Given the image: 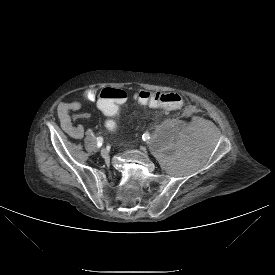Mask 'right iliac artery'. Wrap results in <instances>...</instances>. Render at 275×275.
I'll return each instance as SVG.
<instances>
[{"label":"right iliac artery","mask_w":275,"mask_h":275,"mask_svg":"<svg viewBox=\"0 0 275 275\" xmlns=\"http://www.w3.org/2000/svg\"><path fill=\"white\" fill-rule=\"evenodd\" d=\"M96 141H97V146L98 147L102 146V144H103V138L102 137H97Z\"/></svg>","instance_id":"obj_1"}]
</instances>
